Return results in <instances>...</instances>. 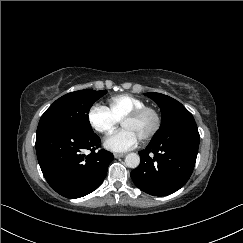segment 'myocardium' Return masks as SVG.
<instances>
[{
    "label": "myocardium",
    "mask_w": 243,
    "mask_h": 243,
    "mask_svg": "<svg viewBox=\"0 0 243 243\" xmlns=\"http://www.w3.org/2000/svg\"><path fill=\"white\" fill-rule=\"evenodd\" d=\"M145 114H151L153 116L154 125L150 130V132L143 139H141L142 143H146L150 141L159 132L162 125V117L160 113L152 107L145 106V107L135 109L134 111L130 112L129 114H127L121 119V123H123L126 120H136L144 116Z\"/></svg>",
    "instance_id": "f54148a6"
}]
</instances>
